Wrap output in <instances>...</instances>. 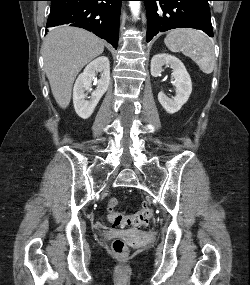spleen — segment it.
Returning <instances> with one entry per match:
<instances>
[{"instance_id":"obj_1","label":"spleen","mask_w":250,"mask_h":285,"mask_svg":"<svg viewBox=\"0 0 250 285\" xmlns=\"http://www.w3.org/2000/svg\"><path fill=\"white\" fill-rule=\"evenodd\" d=\"M172 52H182L190 57L205 74L213 72L215 66L214 45L201 31L195 29H174L164 39Z\"/></svg>"}]
</instances>
